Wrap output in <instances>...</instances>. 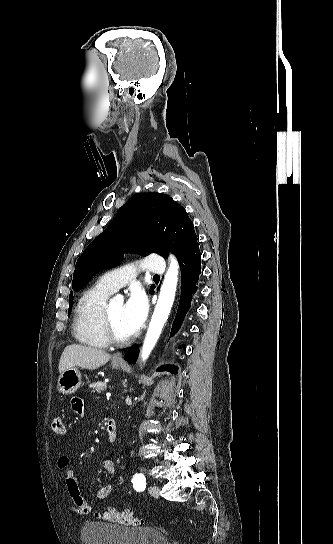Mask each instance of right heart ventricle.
<instances>
[{
    "label": "right heart ventricle",
    "instance_id": "1",
    "mask_svg": "<svg viewBox=\"0 0 333 544\" xmlns=\"http://www.w3.org/2000/svg\"><path fill=\"white\" fill-rule=\"evenodd\" d=\"M112 291L99 281L84 291L75 307L73 334L82 344L105 348L109 341L103 326V311Z\"/></svg>",
    "mask_w": 333,
    "mask_h": 544
}]
</instances>
